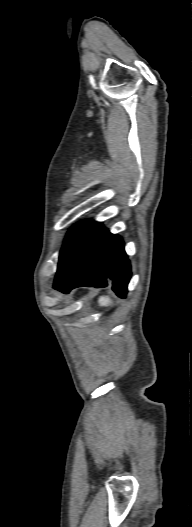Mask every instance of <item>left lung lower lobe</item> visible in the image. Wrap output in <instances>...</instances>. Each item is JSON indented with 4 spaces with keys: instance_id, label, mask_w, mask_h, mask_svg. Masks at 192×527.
<instances>
[{
    "instance_id": "0a47b994",
    "label": "left lung lower lobe",
    "mask_w": 192,
    "mask_h": 527,
    "mask_svg": "<svg viewBox=\"0 0 192 527\" xmlns=\"http://www.w3.org/2000/svg\"><path fill=\"white\" fill-rule=\"evenodd\" d=\"M131 275L123 241L101 223L85 222L60 254L54 288L68 293L80 286L106 287L124 298Z\"/></svg>"
}]
</instances>
